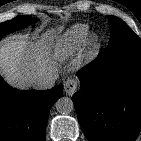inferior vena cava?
Returning a JSON list of instances; mask_svg holds the SVG:
<instances>
[{"label": "inferior vena cava", "instance_id": "1", "mask_svg": "<svg viewBox=\"0 0 141 141\" xmlns=\"http://www.w3.org/2000/svg\"><path fill=\"white\" fill-rule=\"evenodd\" d=\"M58 76L56 74L48 73L34 81V88L38 90H47L54 87Z\"/></svg>", "mask_w": 141, "mask_h": 141}]
</instances>
